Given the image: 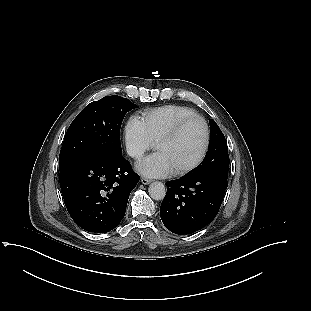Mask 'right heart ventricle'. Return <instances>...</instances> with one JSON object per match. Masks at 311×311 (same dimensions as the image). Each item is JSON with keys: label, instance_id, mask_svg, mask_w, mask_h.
I'll return each instance as SVG.
<instances>
[{"label": "right heart ventricle", "instance_id": "e07e8e85", "mask_svg": "<svg viewBox=\"0 0 311 311\" xmlns=\"http://www.w3.org/2000/svg\"><path fill=\"white\" fill-rule=\"evenodd\" d=\"M197 115L196 112L182 105H164L142 112L141 120L150 139L155 142L159 136L179 120Z\"/></svg>", "mask_w": 311, "mask_h": 311}]
</instances>
